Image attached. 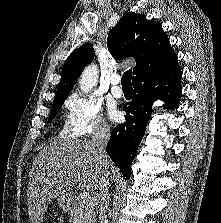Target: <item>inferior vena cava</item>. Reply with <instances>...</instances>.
I'll return each mask as SVG.
<instances>
[{
	"instance_id": "1",
	"label": "inferior vena cava",
	"mask_w": 221,
	"mask_h": 223,
	"mask_svg": "<svg viewBox=\"0 0 221 223\" xmlns=\"http://www.w3.org/2000/svg\"><path fill=\"white\" fill-rule=\"evenodd\" d=\"M111 131L110 127L106 122H100L96 125L92 136V142L96 147L98 161L101 169V177L99 180V197H98V208H99V223H103L106 218V212L108 209L109 200V178L107 171V154L105 147L110 138Z\"/></svg>"
}]
</instances>
